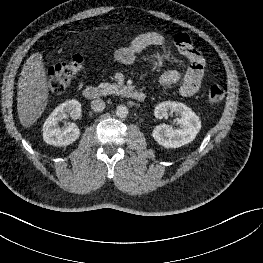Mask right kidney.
Instances as JSON below:
<instances>
[{
  "label": "right kidney",
  "instance_id": "1",
  "mask_svg": "<svg viewBox=\"0 0 263 263\" xmlns=\"http://www.w3.org/2000/svg\"><path fill=\"white\" fill-rule=\"evenodd\" d=\"M74 120L81 116V104L72 99L57 106L43 124V139L53 146H67L76 141L80 136V129L75 123H65L59 126V122L68 116Z\"/></svg>",
  "mask_w": 263,
  "mask_h": 263
}]
</instances>
